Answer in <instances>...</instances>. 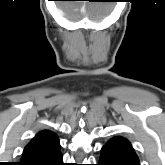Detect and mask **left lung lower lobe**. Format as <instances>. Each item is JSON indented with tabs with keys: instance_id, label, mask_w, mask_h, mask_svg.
Instances as JSON below:
<instances>
[{
	"instance_id": "0a47b994",
	"label": "left lung lower lobe",
	"mask_w": 165,
	"mask_h": 165,
	"mask_svg": "<svg viewBox=\"0 0 165 165\" xmlns=\"http://www.w3.org/2000/svg\"><path fill=\"white\" fill-rule=\"evenodd\" d=\"M97 165H138L135 162L127 161L119 156L116 151H110L102 148L101 156Z\"/></svg>"
}]
</instances>
